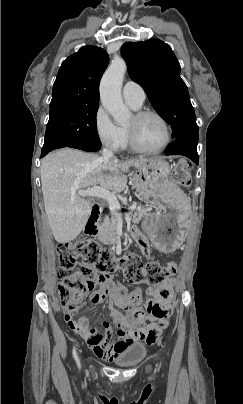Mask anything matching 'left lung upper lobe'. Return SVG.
<instances>
[{
  "mask_svg": "<svg viewBox=\"0 0 243 404\" xmlns=\"http://www.w3.org/2000/svg\"><path fill=\"white\" fill-rule=\"evenodd\" d=\"M121 52L131 79L143 87L154 109L171 125L173 138H198L194 108L170 46L150 39L127 42Z\"/></svg>",
  "mask_w": 243,
  "mask_h": 404,
  "instance_id": "1",
  "label": "left lung upper lobe"
}]
</instances>
